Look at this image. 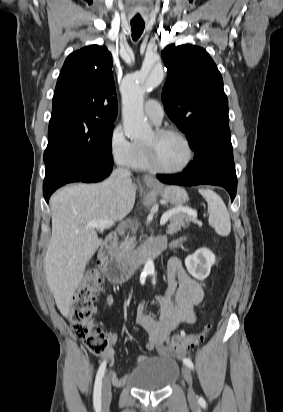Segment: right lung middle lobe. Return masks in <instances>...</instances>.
<instances>
[{"label": "right lung middle lobe", "instance_id": "obj_1", "mask_svg": "<svg viewBox=\"0 0 283 412\" xmlns=\"http://www.w3.org/2000/svg\"><path fill=\"white\" fill-rule=\"evenodd\" d=\"M114 125H103L94 115L68 112L51 117L44 162L48 166L61 160L113 161L111 138Z\"/></svg>", "mask_w": 283, "mask_h": 412}]
</instances>
